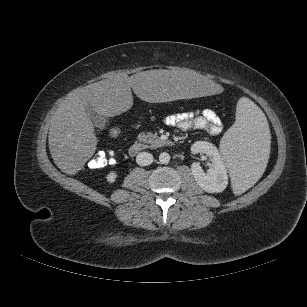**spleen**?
<instances>
[{"label":"spleen","instance_id":"obj_1","mask_svg":"<svg viewBox=\"0 0 307 307\" xmlns=\"http://www.w3.org/2000/svg\"><path fill=\"white\" fill-rule=\"evenodd\" d=\"M220 149L231 171L235 194L244 192L265 171L271 157L269 125L249 98L239 99L235 123L221 139Z\"/></svg>","mask_w":307,"mask_h":307}]
</instances>
